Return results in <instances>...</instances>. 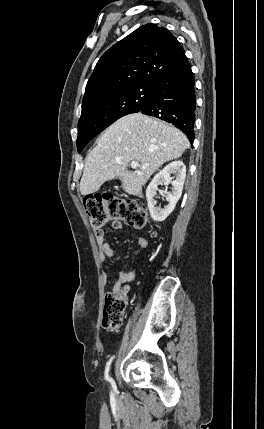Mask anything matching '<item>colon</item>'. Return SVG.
Wrapping results in <instances>:
<instances>
[{
	"instance_id": "1",
	"label": "colon",
	"mask_w": 264,
	"mask_h": 429,
	"mask_svg": "<svg viewBox=\"0 0 264 429\" xmlns=\"http://www.w3.org/2000/svg\"><path fill=\"white\" fill-rule=\"evenodd\" d=\"M85 211L95 232L110 220H121L125 224L140 229L147 222V214L135 201L111 194H94L84 199ZM128 288L107 292L104 300L102 325L109 331L121 328L127 306Z\"/></svg>"
}]
</instances>
